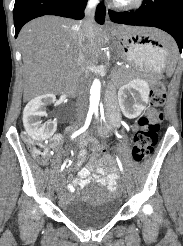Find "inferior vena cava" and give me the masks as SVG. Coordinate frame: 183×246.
I'll return each instance as SVG.
<instances>
[{
    "label": "inferior vena cava",
    "instance_id": "obj_1",
    "mask_svg": "<svg viewBox=\"0 0 183 246\" xmlns=\"http://www.w3.org/2000/svg\"><path fill=\"white\" fill-rule=\"evenodd\" d=\"M98 0H89L85 8V20L80 23V44L84 39H90L94 34L95 21L94 13ZM78 64L80 67V78L78 81V94H77V107L80 110H85L87 108L88 92H89V82L88 74L90 69V64L86 62L83 53L79 54Z\"/></svg>",
    "mask_w": 183,
    "mask_h": 246
}]
</instances>
